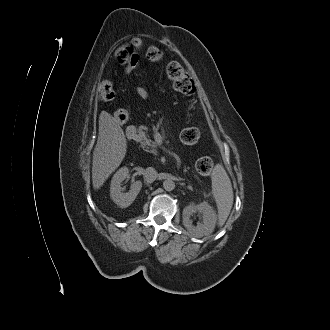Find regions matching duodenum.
<instances>
[{"label":"duodenum","instance_id":"obj_1","mask_svg":"<svg viewBox=\"0 0 330 330\" xmlns=\"http://www.w3.org/2000/svg\"><path fill=\"white\" fill-rule=\"evenodd\" d=\"M136 130L134 127H129L126 131L128 139L132 140L135 136Z\"/></svg>","mask_w":330,"mask_h":330}]
</instances>
